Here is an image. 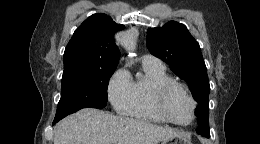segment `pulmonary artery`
<instances>
[{"label": "pulmonary artery", "instance_id": "pulmonary-artery-1", "mask_svg": "<svg viewBox=\"0 0 260 144\" xmlns=\"http://www.w3.org/2000/svg\"><path fill=\"white\" fill-rule=\"evenodd\" d=\"M142 63L153 67L164 68L161 60L150 54H146L142 57Z\"/></svg>", "mask_w": 260, "mask_h": 144}]
</instances>
